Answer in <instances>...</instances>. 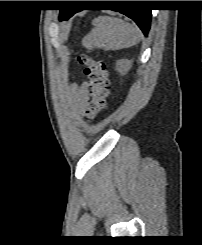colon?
Instances as JSON below:
<instances>
[{
    "mask_svg": "<svg viewBox=\"0 0 202 245\" xmlns=\"http://www.w3.org/2000/svg\"><path fill=\"white\" fill-rule=\"evenodd\" d=\"M78 63L84 68L87 77L86 117L94 118L103 113L110 93V81L104 61L88 55H81Z\"/></svg>",
    "mask_w": 202,
    "mask_h": 245,
    "instance_id": "1",
    "label": "colon"
}]
</instances>
